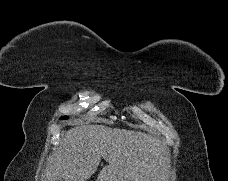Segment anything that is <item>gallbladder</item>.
<instances>
[{"label":"gallbladder","mask_w":228,"mask_h":181,"mask_svg":"<svg viewBox=\"0 0 228 181\" xmlns=\"http://www.w3.org/2000/svg\"><path fill=\"white\" fill-rule=\"evenodd\" d=\"M56 181H64V179H62V177H57Z\"/></svg>","instance_id":"obj_1"}]
</instances>
